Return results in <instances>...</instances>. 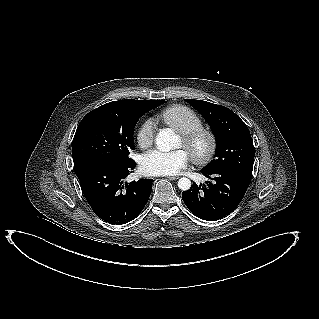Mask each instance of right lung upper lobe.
Masks as SVG:
<instances>
[{
    "label": "right lung upper lobe",
    "mask_w": 319,
    "mask_h": 319,
    "mask_svg": "<svg viewBox=\"0 0 319 319\" xmlns=\"http://www.w3.org/2000/svg\"><path fill=\"white\" fill-rule=\"evenodd\" d=\"M128 100H133V99H128ZM128 100H119V101H113V102H126ZM135 100V99H134ZM109 103H112V102H109Z\"/></svg>",
    "instance_id": "right-lung-upper-lobe-1"
}]
</instances>
